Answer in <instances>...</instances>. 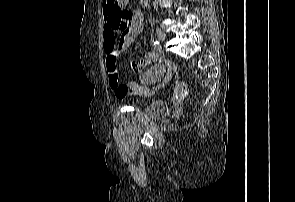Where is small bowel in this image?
<instances>
[{
    "mask_svg": "<svg viewBox=\"0 0 295 202\" xmlns=\"http://www.w3.org/2000/svg\"><path fill=\"white\" fill-rule=\"evenodd\" d=\"M105 10V8H104ZM129 20L126 28L119 26L120 21L109 14H104L103 47L105 51V66L110 86L114 94L124 98L127 91L137 93L143 97L154 95L166 81L174 74L171 62L164 63L160 51H150L145 58L134 64L136 69L153 64L140 76V84L134 81L122 82L119 77L117 62L121 55L131 46L136 37L143 30V14L139 9L128 11ZM122 29L120 38L116 40L117 32ZM187 81H176L173 98H185ZM174 107H181V102H174Z\"/></svg>",
    "mask_w": 295,
    "mask_h": 202,
    "instance_id": "obj_1",
    "label": "small bowel"
}]
</instances>
